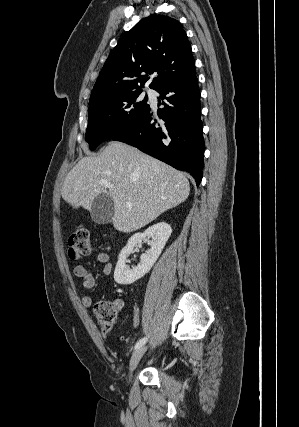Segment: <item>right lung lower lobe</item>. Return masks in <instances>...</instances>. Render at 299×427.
<instances>
[{
  "instance_id": "1",
  "label": "right lung lower lobe",
  "mask_w": 299,
  "mask_h": 427,
  "mask_svg": "<svg viewBox=\"0 0 299 427\" xmlns=\"http://www.w3.org/2000/svg\"><path fill=\"white\" fill-rule=\"evenodd\" d=\"M156 91L161 95L158 105L164 106L158 109V116L164 122L152 123L149 108L138 122L113 140L137 147L178 170L189 172L198 186L203 177L204 139L196 73L167 82Z\"/></svg>"
}]
</instances>
